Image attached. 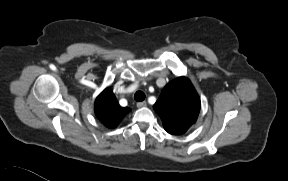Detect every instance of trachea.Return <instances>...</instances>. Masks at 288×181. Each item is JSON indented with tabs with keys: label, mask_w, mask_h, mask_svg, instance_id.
<instances>
[{
	"label": "trachea",
	"mask_w": 288,
	"mask_h": 181,
	"mask_svg": "<svg viewBox=\"0 0 288 181\" xmlns=\"http://www.w3.org/2000/svg\"><path fill=\"white\" fill-rule=\"evenodd\" d=\"M134 98L137 102H142L145 99V94L142 91H137L134 95Z\"/></svg>",
	"instance_id": "3493384b"
}]
</instances>
